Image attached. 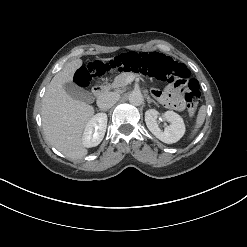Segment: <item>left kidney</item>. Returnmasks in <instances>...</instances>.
<instances>
[{
  "instance_id": "left-kidney-1",
  "label": "left kidney",
  "mask_w": 247,
  "mask_h": 247,
  "mask_svg": "<svg viewBox=\"0 0 247 247\" xmlns=\"http://www.w3.org/2000/svg\"><path fill=\"white\" fill-rule=\"evenodd\" d=\"M158 115L159 112L155 109H149L145 112V122L150 132L167 144L179 141L185 133V125L181 116L173 111L163 113L162 116L170 122V126L162 130L157 122Z\"/></svg>"
}]
</instances>
